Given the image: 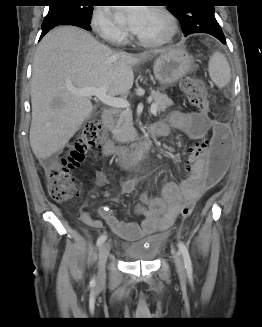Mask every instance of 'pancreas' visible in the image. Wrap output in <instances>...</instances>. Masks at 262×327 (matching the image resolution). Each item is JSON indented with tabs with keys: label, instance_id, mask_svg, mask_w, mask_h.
<instances>
[{
	"label": "pancreas",
	"instance_id": "1",
	"mask_svg": "<svg viewBox=\"0 0 262 327\" xmlns=\"http://www.w3.org/2000/svg\"><path fill=\"white\" fill-rule=\"evenodd\" d=\"M151 97L157 105V111L163 112L173 105V101L164 93L152 91ZM113 138L120 143L132 141L135 138L132 113L129 110L120 111L112 126Z\"/></svg>",
	"mask_w": 262,
	"mask_h": 327
}]
</instances>
